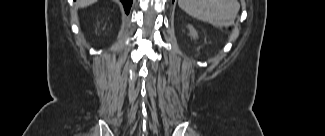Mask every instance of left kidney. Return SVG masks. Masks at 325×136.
<instances>
[{"label":"left kidney","mask_w":325,"mask_h":136,"mask_svg":"<svg viewBox=\"0 0 325 136\" xmlns=\"http://www.w3.org/2000/svg\"><path fill=\"white\" fill-rule=\"evenodd\" d=\"M187 27H188V29H189L190 36H191L193 39L198 38V34H197V31L195 30V28H194L192 25H188Z\"/></svg>","instance_id":"1"}]
</instances>
